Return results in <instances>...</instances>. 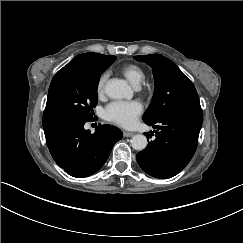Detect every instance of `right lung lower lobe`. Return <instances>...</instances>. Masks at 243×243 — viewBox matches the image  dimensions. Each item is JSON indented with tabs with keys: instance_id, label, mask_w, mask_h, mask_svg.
Listing matches in <instances>:
<instances>
[{
	"instance_id": "obj_1",
	"label": "right lung lower lobe",
	"mask_w": 243,
	"mask_h": 243,
	"mask_svg": "<svg viewBox=\"0 0 243 243\" xmlns=\"http://www.w3.org/2000/svg\"><path fill=\"white\" fill-rule=\"evenodd\" d=\"M88 121L69 118L43 126L53 159L66 173L77 178L96 173L123 136L118 128L101 124L94 134H90L84 129Z\"/></svg>"
}]
</instances>
